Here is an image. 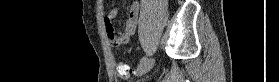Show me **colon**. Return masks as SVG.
I'll use <instances>...</instances> for the list:
<instances>
[{"instance_id": "5ec220e1", "label": "colon", "mask_w": 279, "mask_h": 82, "mask_svg": "<svg viewBox=\"0 0 279 82\" xmlns=\"http://www.w3.org/2000/svg\"><path fill=\"white\" fill-rule=\"evenodd\" d=\"M117 73L121 78L128 79L132 75L133 69L127 63L121 62L117 65Z\"/></svg>"}]
</instances>
